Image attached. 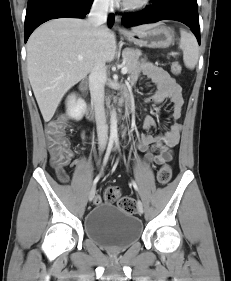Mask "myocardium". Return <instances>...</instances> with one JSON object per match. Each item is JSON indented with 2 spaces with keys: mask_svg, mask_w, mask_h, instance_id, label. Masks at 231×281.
Returning <instances> with one entry per match:
<instances>
[{
  "mask_svg": "<svg viewBox=\"0 0 231 281\" xmlns=\"http://www.w3.org/2000/svg\"><path fill=\"white\" fill-rule=\"evenodd\" d=\"M152 0L124 1L123 8L127 11H141L146 9Z\"/></svg>",
  "mask_w": 231,
  "mask_h": 281,
  "instance_id": "1",
  "label": "myocardium"
}]
</instances>
